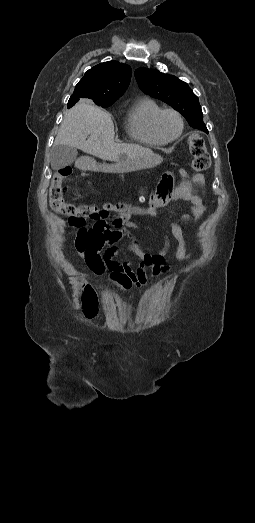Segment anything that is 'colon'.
Listing matches in <instances>:
<instances>
[{
	"label": "colon",
	"instance_id": "1",
	"mask_svg": "<svg viewBox=\"0 0 255 523\" xmlns=\"http://www.w3.org/2000/svg\"><path fill=\"white\" fill-rule=\"evenodd\" d=\"M187 142L189 152L193 157L191 164L192 170L194 172H202L207 170L210 166V157L207 152L203 137L200 134L194 132L189 135ZM71 173L72 169L70 167H63L58 169L53 175L49 192V202L51 208L56 213L67 216L69 220L75 224L82 225L88 221H106L110 210H115L121 214H124L129 210L128 205L124 203H108L100 208L95 205H76L66 202L63 182L68 176H70ZM168 187L169 181L167 178H164L160 184V189L157 193L158 196L162 197L168 190ZM120 223L121 219L115 221V224ZM112 277L126 289L130 288L132 285V280L124 274L114 273L112 274ZM83 304L85 307V314L88 317L94 316L97 310V304L94 292L89 286L85 287Z\"/></svg>",
	"mask_w": 255,
	"mask_h": 523
}]
</instances>
